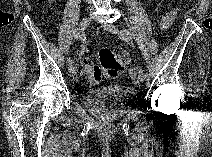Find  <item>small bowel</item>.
<instances>
[{"label":"small bowel","mask_w":212,"mask_h":157,"mask_svg":"<svg viewBox=\"0 0 212 157\" xmlns=\"http://www.w3.org/2000/svg\"><path fill=\"white\" fill-rule=\"evenodd\" d=\"M175 12H171V13H169V14H167L164 18H163V20H162V28L163 29H167L170 25H171V23H172V21L174 20V18H175ZM87 49L86 48H82V50H81V54H85V53H87ZM88 63H89V60L88 59H84L82 62H81V64H80V67L81 68H84L86 65H88ZM79 74V73H78ZM131 76L132 77H134L135 76V71H132L131 72Z\"/></svg>","instance_id":"obj_1"}]
</instances>
